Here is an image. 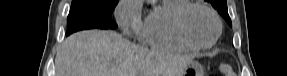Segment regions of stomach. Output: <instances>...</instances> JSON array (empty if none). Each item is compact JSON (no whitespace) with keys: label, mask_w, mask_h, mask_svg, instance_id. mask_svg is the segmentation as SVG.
I'll return each instance as SVG.
<instances>
[{"label":"stomach","mask_w":287,"mask_h":76,"mask_svg":"<svg viewBox=\"0 0 287 76\" xmlns=\"http://www.w3.org/2000/svg\"><path fill=\"white\" fill-rule=\"evenodd\" d=\"M202 66L196 61H190L181 76H204Z\"/></svg>","instance_id":"obj_1"}]
</instances>
